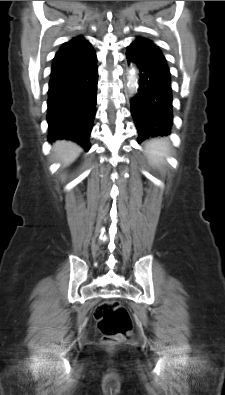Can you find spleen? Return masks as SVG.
<instances>
[{
    "instance_id": "spleen-1",
    "label": "spleen",
    "mask_w": 225,
    "mask_h": 395,
    "mask_svg": "<svg viewBox=\"0 0 225 395\" xmlns=\"http://www.w3.org/2000/svg\"><path fill=\"white\" fill-rule=\"evenodd\" d=\"M170 145L164 139H154L146 145V154L152 165L159 166L169 156Z\"/></svg>"
}]
</instances>
